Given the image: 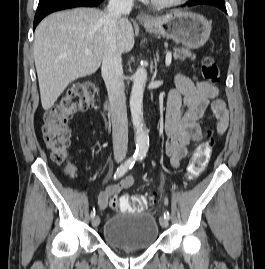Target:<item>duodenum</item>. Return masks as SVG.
Listing matches in <instances>:
<instances>
[{"label":"duodenum","instance_id":"1","mask_svg":"<svg viewBox=\"0 0 265 269\" xmlns=\"http://www.w3.org/2000/svg\"><path fill=\"white\" fill-rule=\"evenodd\" d=\"M106 108L109 109L110 108V103H109V100H107L106 102Z\"/></svg>","mask_w":265,"mask_h":269}]
</instances>
